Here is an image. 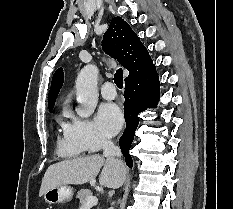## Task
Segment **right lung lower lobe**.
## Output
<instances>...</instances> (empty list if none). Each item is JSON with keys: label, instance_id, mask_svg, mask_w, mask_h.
<instances>
[{"label": "right lung lower lobe", "instance_id": "1", "mask_svg": "<svg viewBox=\"0 0 233 209\" xmlns=\"http://www.w3.org/2000/svg\"><path fill=\"white\" fill-rule=\"evenodd\" d=\"M124 97L126 129L120 137L119 145L124 154L126 164L131 168L133 161L129 155V150L139 124L137 115L145 111L148 106L155 107L159 98V80L155 66L140 77L127 82Z\"/></svg>", "mask_w": 233, "mask_h": 209}]
</instances>
